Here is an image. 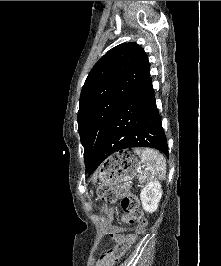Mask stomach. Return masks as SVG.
Segmentation results:
<instances>
[{"mask_svg": "<svg viewBox=\"0 0 221 266\" xmlns=\"http://www.w3.org/2000/svg\"><path fill=\"white\" fill-rule=\"evenodd\" d=\"M135 149H126L106 159L98 170L100 181L106 185H117L132 180L143 162Z\"/></svg>", "mask_w": 221, "mask_h": 266, "instance_id": "1", "label": "stomach"}]
</instances>
